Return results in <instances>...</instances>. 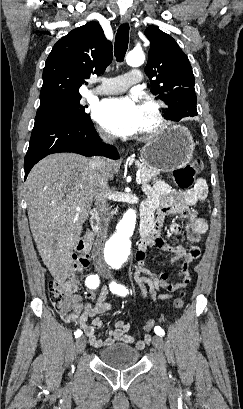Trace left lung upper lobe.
<instances>
[{
  "label": "left lung upper lobe",
  "mask_w": 243,
  "mask_h": 409,
  "mask_svg": "<svg viewBox=\"0 0 243 409\" xmlns=\"http://www.w3.org/2000/svg\"><path fill=\"white\" fill-rule=\"evenodd\" d=\"M145 35L150 41L145 73L151 80V92L164 100L173 119L179 113L196 109L195 79L188 57L176 41L156 26H149Z\"/></svg>",
  "instance_id": "5c2ea615"
}]
</instances>
